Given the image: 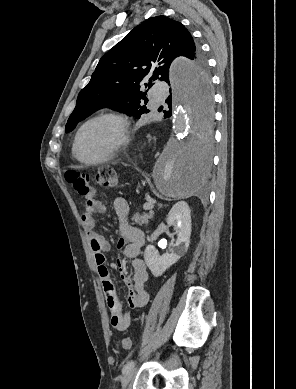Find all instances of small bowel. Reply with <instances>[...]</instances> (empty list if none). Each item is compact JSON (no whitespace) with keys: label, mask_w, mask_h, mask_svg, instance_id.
I'll list each match as a JSON object with an SVG mask.
<instances>
[{"label":"small bowel","mask_w":296,"mask_h":389,"mask_svg":"<svg viewBox=\"0 0 296 389\" xmlns=\"http://www.w3.org/2000/svg\"><path fill=\"white\" fill-rule=\"evenodd\" d=\"M84 212L81 215L82 226L87 234L94 262L102 284L108 308L111 312V325L117 331H124L129 327L130 314L122 312L121 303L111 282L109 271L105 265V253L110 249V242L95 230L94 215L104 213L106 206L93 192L85 197ZM113 209L120 221V239L118 247L123 249L124 256L132 261L133 276L130 278L125 270L123 261L118 260L121 277L128 286V306L132 310L143 308L149 301L150 293L146 286L148 273L145 262L140 258V251L144 245L143 232L128 222L129 206L125 199L118 197L113 202Z\"/></svg>","instance_id":"c3829d8e"}]
</instances>
